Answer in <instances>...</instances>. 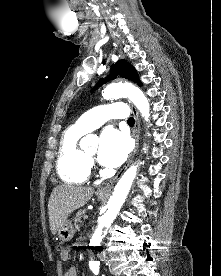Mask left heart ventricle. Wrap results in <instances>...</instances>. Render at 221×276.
Masks as SVG:
<instances>
[{"mask_svg": "<svg viewBox=\"0 0 221 276\" xmlns=\"http://www.w3.org/2000/svg\"><path fill=\"white\" fill-rule=\"evenodd\" d=\"M89 154H90V155H94V154H95V151H92V152H90Z\"/></svg>", "mask_w": 221, "mask_h": 276, "instance_id": "b2bd125f", "label": "left heart ventricle"}]
</instances>
